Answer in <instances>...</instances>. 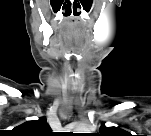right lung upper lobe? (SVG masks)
<instances>
[{
  "label": "right lung upper lobe",
  "instance_id": "obj_1",
  "mask_svg": "<svg viewBox=\"0 0 151 136\" xmlns=\"http://www.w3.org/2000/svg\"><path fill=\"white\" fill-rule=\"evenodd\" d=\"M50 126L45 117L38 120L27 121L13 129V132L22 136H46L50 132Z\"/></svg>",
  "mask_w": 151,
  "mask_h": 136
}]
</instances>
